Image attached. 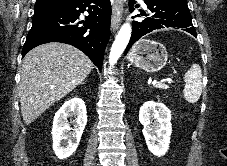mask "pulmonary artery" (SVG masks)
Returning a JSON list of instances; mask_svg holds the SVG:
<instances>
[{
    "mask_svg": "<svg viewBox=\"0 0 227 166\" xmlns=\"http://www.w3.org/2000/svg\"><path fill=\"white\" fill-rule=\"evenodd\" d=\"M139 1L143 8H147V4L144 2V0H139Z\"/></svg>",
    "mask_w": 227,
    "mask_h": 166,
    "instance_id": "obj_1",
    "label": "pulmonary artery"
}]
</instances>
